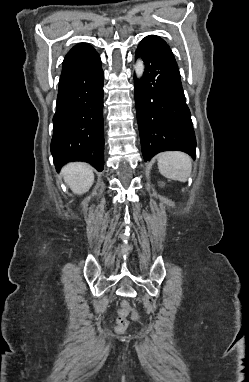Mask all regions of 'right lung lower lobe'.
<instances>
[{"label": "right lung lower lobe", "instance_id": "1", "mask_svg": "<svg viewBox=\"0 0 249 382\" xmlns=\"http://www.w3.org/2000/svg\"><path fill=\"white\" fill-rule=\"evenodd\" d=\"M103 70L98 55L59 83L51 153L57 171L67 162L104 168Z\"/></svg>", "mask_w": 249, "mask_h": 382}]
</instances>
